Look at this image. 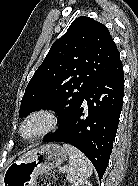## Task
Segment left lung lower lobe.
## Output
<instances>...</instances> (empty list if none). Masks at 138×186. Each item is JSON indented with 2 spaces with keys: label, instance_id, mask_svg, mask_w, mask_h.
<instances>
[{
  "label": "left lung lower lobe",
  "instance_id": "left-lung-lower-lobe-1",
  "mask_svg": "<svg viewBox=\"0 0 138 186\" xmlns=\"http://www.w3.org/2000/svg\"><path fill=\"white\" fill-rule=\"evenodd\" d=\"M123 92L124 75L119 60L93 84L64 125L43 141L65 142L78 148L102 178L118 128Z\"/></svg>",
  "mask_w": 138,
  "mask_h": 186
}]
</instances>
